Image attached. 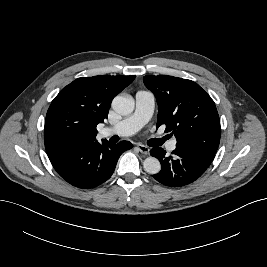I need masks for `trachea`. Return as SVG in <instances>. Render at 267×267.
Masks as SVG:
<instances>
[{
  "label": "trachea",
  "instance_id": "1",
  "mask_svg": "<svg viewBox=\"0 0 267 267\" xmlns=\"http://www.w3.org/2000/svg\"><path fill=\"white\" fill-rule=\"evenodd\" d=\"M165 140H166V138L161 139V141H165Z\"/></svg>",
  "mask_w": 267,
  "mask_h": 267
}]
</instances>
